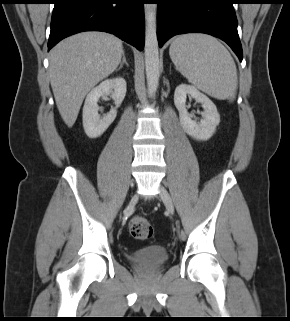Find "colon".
<instances>
[{
    "label": "colon",
    "instance_id": "colon-1",
    "mask_svg": "<svg viewBox=\"0 0 290 321\" xmlns=\"http://www.w3.org/2000/svg\"><path fill=\"white\" fill-rule=\"evenodd\" d=\"M129 232L132 237L145 240L153 235V228L145 217L134 216L129 223Z\"/></svg>",
    "mask_w": 290,
    "mask_h": 321
}]
</instances>
